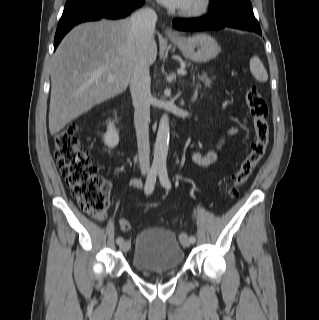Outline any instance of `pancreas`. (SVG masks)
I'll use <instances>...</instances> for the list:
<instances>
[{"instance_id": "pancreas-1", "label": "pancreas", "mask_w": 319, "mask_h": 320, "mask_svg": "<svg viewBox=\"0 0 319 320\" xmlns=\"http://www.w3.org/2000/svg\"><path fill=\"white\" fill-rule=\"evenodd\" d=\"M184 66L186 67H190L191 66V63L190 62H183ZM198 79L200 81H202L205 86H209L211 83H212V80L208 77L207 73L205 72H202L201 74H198Z\"/></svg>"}]
</instances>
